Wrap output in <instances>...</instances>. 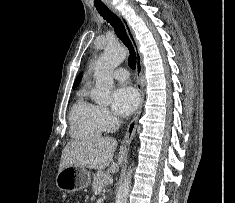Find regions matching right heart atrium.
Wrapping results in <instances>:
<instances>
[{
	"instance_id": "obj_1",
	"label": "right heart atrium",
	"mask_w": 235,
	"mask_h": 203,
	"mask_svg": "<svg viewBox=\"0 0 235 203\" xmlns=\"http://www.w3.org/2000/svg\"><path fill=\"white\" fill-rule=\"evenodd\" d=\"M97 117L104 130L109 131L116 126V118L105 107L97 106Z\"/></svg>"
}]
</instances>
